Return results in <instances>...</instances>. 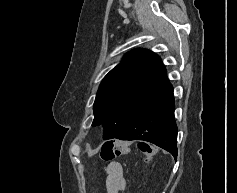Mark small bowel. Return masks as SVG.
Segmentation results:
<instances>
[{
    "instance_id": "small-bowel-1",
    "label": "small bowel",
    "mask_w": 237,
    "mask_h": 193,
    "mask_svg": "<svg viewBox=\"0 0 237 193\" xmlns=\"http://www.w3.org/2000/svg\"><path fill=\"white\" fill-rule=\"evenodd\" d=\"M105 186L107 193H122L126 188V179L120 163H109L105 169Z\"/></svg>"
}]
</instances>
